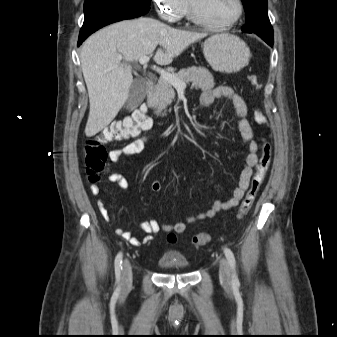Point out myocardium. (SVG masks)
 Segmentation results:
<instances>
[{
  "label": "myocardium",
  "instance_id": "f54148a6",
  "mask_svg": "<svg viewBox=\"0 0 337 337\" xmlns=\"http://www.w3.org/2000/svg\"><path fill=\"white\" fill-rule=\"evenodd\" d=\"M236 5V12L234 16L227 22L224 23H214L202 18L197 10L195 9L192 0H187L188 4V13L193 22L199 24L205 28L212 30H227L233 27L242 17L244 12V5L242 0H234Z\"/></svg>",
  "mask_w": 337,
  "mask_h": 337
}]
</instances>
